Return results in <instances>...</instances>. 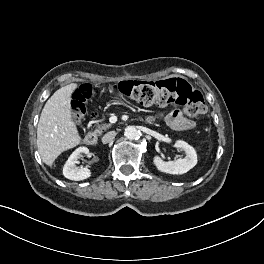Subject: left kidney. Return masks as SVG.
I'll use <instances>...</instances> for the list:
<instances>
[{"label":"left kidney","mask_w":264,"mask_h":264,"mask_svg":"<svg viewBox=\"0 0 264 264\" xmlns=\"http://www.w3.org/2000/svg\"><path fill=\"white\" fill-rule=\"evenodd\" d=\"M174 146L185 152L184 158H179L174 162H165L159 156H155L153 162L156 168L161 172L169 174H184L197 164L196 151L191 145L182 140H177Z\"/></svg>","instance_id":"1"}]
</instances>
